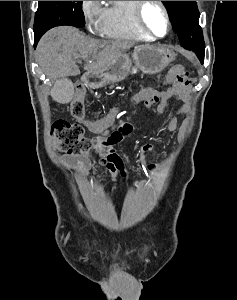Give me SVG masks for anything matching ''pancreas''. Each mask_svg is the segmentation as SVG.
Masks as SVG:
<instances>
[{
    "mask_svg": "<svg viewBox=\"0 0 237 300\" xmlns=\"http://www.w3.org/2000/svg\"><path fill=\"white\" fill-rule=\"evenodd\" d=\"M132 71H134V73H136V71H137L136 67H134V69H132Z\"/></svg>",
    "mask_w": 237,
    "mask_h": 300,
    "instance_id": "cf45deb5",
    "label": "pancreas"
}]
</instances>
